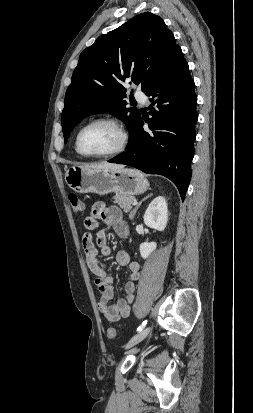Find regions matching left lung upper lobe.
I'll use <instances>...</instances> for the list:
<instances>
[{
	"label": "left lung upper lobe",
	"mask_w": 253,
	"mask_h": 413,
	"mask_svg": "<svg viewBox=\"0 0 253 413\" xmlns=\"http://www.w3.org/2000/svg\"><path fill=\"white\" fill-rule=\"evenodd\" d=\"M178 48L162 18L145 12L100 36L83 50L64 99L61 124L65 143L85 117L111 113L126 123L129 145L136 136L141 115L138 109L126 107L123 82L131 80L146 93Z\"/></svg>",
	"instance_id": "obj_1"
}]
</instances>
